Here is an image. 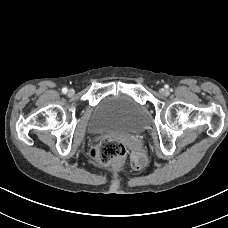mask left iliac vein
Instances as JSON below:
<instances>
[{
    "label": "left iliac vein",
    "instance_id": "1",
    "mask_svg": "<svg viewBox=\"0 0 228 228\" xmlns=\"http://www.w3.org/2000/svg\"><path fill=\"white\" fill-rule=\"evenodd\" d=\"M160 93L162 94V95H164V96H167L168 95V90H166V89H161L160 90Z\"/></svg>",
    "mask_w": 228,
    "mask_h": 228
}]
</instances>
